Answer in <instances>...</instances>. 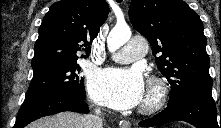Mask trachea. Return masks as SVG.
<instances>
[{
    "instance_id": "1",
    "label": "trachea",
    "mask_w": 221,
    "mask_h": 128,
    "mask_svg": "<svg viewBox=\"0 0 221 128\" xmlns=\"http://www.w3.org/2000/svg\"><path fill=\"white\" fill-rule=\"evenodd\" d=\"M117 2H122V0H117Z\"/></svg>"
}]
</instances>
